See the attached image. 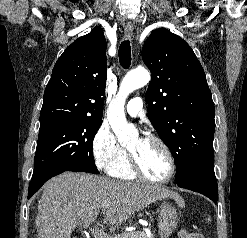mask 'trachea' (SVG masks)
<instances>
[{
  "label": "trachea",
  "mask_w": 247,
  "mask_h": 238,
  "mask_svg": "<svg viewBox=\"0 0 247 238\" xmlns=\"http://www.w3.org/2000/svg\"><path fill=\"white\" fill-rule=\"evenodd\" d=\"M119 61L124 69L131 65V46L129 40H124L119 47Z\"/></svg>",
  "instance_id": "obj_1"
}]
</instances>
